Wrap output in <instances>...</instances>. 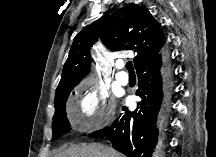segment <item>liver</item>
<instances>
[{"instance_id":"liver-1","label":"liver","mask_w":216,"mask_h":157,"mask_svg":"<svg viewBox=\"0 0 216 157\" xmlns=\"http://www.w3.org/2000/svg\"><path fill=\"white\" fill-rule=\"evenodd\" d=\"M121 154L115 151L113 148L92 143L89 145H75L71 146L59 153H56L54 157H120Z\"/></svg>"}]
</instances>
